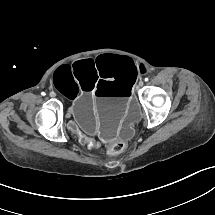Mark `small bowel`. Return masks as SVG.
Segmentation results:
<instances>
[{"mask_svg": "<svg viewBox=\"0 0 215 215\" xmlns=\"http://www.w3.org/2000/svg\"><path fill=\"white\" fill-rule=\"evenodd\" d=\"M71 127H72V128H75V126H74L73 124H71Z\"/></svg>", "mask_w": 215, "mask_h": 215, "instance_id": "small-bowel-1", "label": "small bowel"}]
</instances>
